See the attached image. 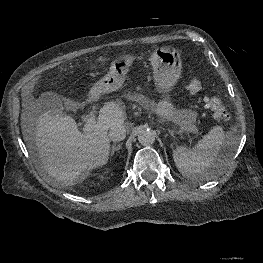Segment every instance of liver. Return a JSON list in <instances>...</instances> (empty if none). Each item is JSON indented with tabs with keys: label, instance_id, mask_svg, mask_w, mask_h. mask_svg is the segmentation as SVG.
Segmentation results:
<instances>
[{
	"label": "liver",
	"instance_id": "1",
	"mask_svg": "<svg viewBox=\"0 0 263 263\" xmlns=\"http://www.w3.org/2000/svg\"><path fill=\"white\" fill-rule=\"evenodd\" d=\"M92 100L98 93L91 94ZM68 109L76 110L78 104L65 99ZM126 119L124 106L107 102L98 115L96 126L90 132H81L75 120L67 115H50L41 112L38 104L27 94L21 114L22 131L32 128L35 147L43 170L56 186H73L91 170L105 165L109 159L108 131L123 126Z\"/></svg>",
	"mask_w": 263,
	"mask_h": 263
}]
</instances>
